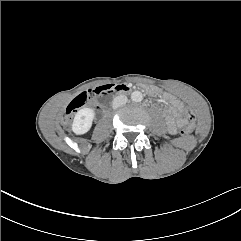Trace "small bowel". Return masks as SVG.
<instances>
[{
	"label": "small bowel",
	"mask_w": 241,
	"mask_h": 241,
	"mask_svg": "<svg viewBox=\"0 0 241 241\" xmlns=\"http://www.w3.org/2000/svg\"><path fill=\"white\" fill-rule=\"evenodd\" d=\"M167 99L172 105V109L169 111L167 117V125L168 129L173 132L177 126H183L186 123L182 118L183 104L173 96H167Z\"/></svg>",
	"instance_id": "obj_1"
}]
</instances>
